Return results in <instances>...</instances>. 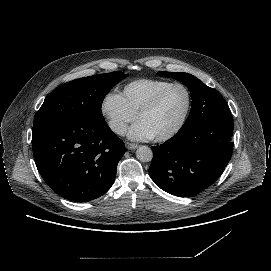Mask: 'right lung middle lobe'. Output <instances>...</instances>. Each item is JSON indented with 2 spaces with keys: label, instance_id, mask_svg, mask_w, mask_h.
Wrapping results in <instances>:
<instances>
[{
  "label": "right lung middle lobe",
  "instance_id": "1",
  "mask_svg": "<svg viewBox=\"0 0 271 271\" xmlns=\"http://www.w3.org/2000/svg\"><path fill=\"white\" fill-rule=\"evenodd\" d=\"M128 75L120 71L67 82L55 89L37 111L34 124L49 118L104 120L101 105L106 94Z\"/></svg>",
  "mask_w": 271,
  "mask_h": 271
}]
</instances>
